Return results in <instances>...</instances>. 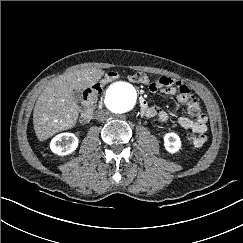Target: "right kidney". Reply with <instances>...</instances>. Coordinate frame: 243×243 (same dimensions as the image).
Here are the masks:
<instances>
[{"label": "right kidney", "mask_w": 243, "mask_h": 243, "mask_svg": "<svg viewBox=\"0 0 243 243\" xmlns=\"http://www.w3.org/2000/svg\"><path fill=\"white\" fill-rule=\"evenodd\" d=\"M79 140L73 133H61L56 135L50 142V149L58 155H68L76 150Z\"/></svg>", "instance_id": "obj_1"}]
</instances>
